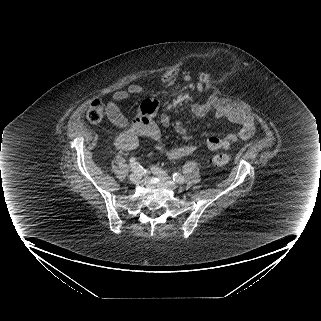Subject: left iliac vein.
<instances>
[{
  "label": "left iliac vein",
  "instance_id": "1",
  "mask_svg": "<svg viewBox=\"0 0 321 321\" xmlns=\"http://www.w3.org/2000/svg\"><path fill=\"white\" fill-rule=\"evenodd\" d=\"M151 170L158 178L164 181L170 188L172 189L177 188V184L171 179L170 176H168L166 172L156 167H152Z\"/></svg>",
  "mask_w": 321,
  "mask_h": 321
}]
</instances>
